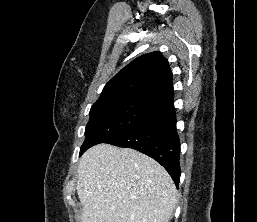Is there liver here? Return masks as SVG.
Listing matches in <instances>:
<instances>
[{"instance_id": "obj_1", "label": "liver", "mask_w": 257, "mask_h": 222, "mask_svg": "<svg viewBox=\"0 0 257 222\" xmlns=\"http://www.w3.org/2000/svg\"><path fill=\"white\" fill-rule=\"evenodd\" d=\"M81 222H169L176 187L167 171L136 150L98 144L77 170Z\"/></svg>"}]
</instances>
